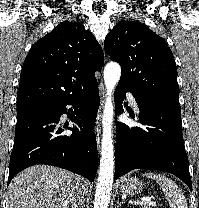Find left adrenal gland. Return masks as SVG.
I'll return each mask as SVG.
<instances>
[{
  "instance_id": "1",
  "label": "left adrenal gland",
  "mask_w": 199,
  "mask_h": 208,
  "mask_svg": "<svg viewBox=\"0 0 199 208\" xmlns=\"http://www.w3.org/2000/svg\"><path fill=\"white\" fill-rule=\"evenodd\" d=\"M122 202H119V200L117 201L118 206L121 205Z\"/></svg>"
}]
</instances>
